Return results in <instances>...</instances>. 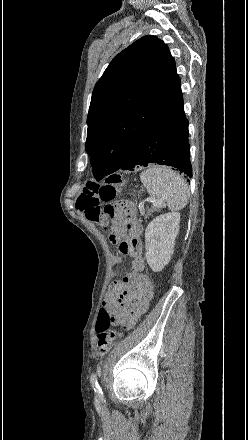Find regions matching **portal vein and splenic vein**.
I'll use <instances>...</instances> for the list:
<instances>
[{
  "label": "portal vein and splenic vein",
  "instance_id": "1",
  "mask_svg": "<svg viewBox=\"0 0 248 440\" xmlns=\"http://www.w3.org/2000/svg\"><path fill=\"white\" fill-rule=\"evenodd\" d=\"M149 200H150V202H152L153 205L156 206V207H159V206L161 205V203L155 201L154 199H149Z\"/></svg>",
  "mask_w": 248,
  "mask_h": 440
}]
</instances>
